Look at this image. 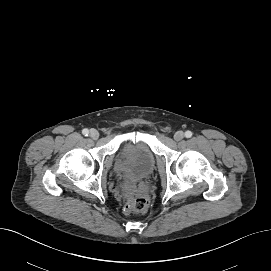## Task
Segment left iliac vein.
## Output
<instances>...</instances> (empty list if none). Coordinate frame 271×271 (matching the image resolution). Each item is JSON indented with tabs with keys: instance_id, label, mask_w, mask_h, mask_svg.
<instances>
[{
	"instance_id": "obj_1",
	"label": "left iliac vein",
	"mask_w": 271,
	"mask_h": 271,
	"mask_svg": "<svg viewBox=\"0 0 271 271\" xmlns=\"http://www.w3.org/2000/svg\"><path fill=\"white\" fill-rule=\"evenodd\" d=\"M184 138V133L182 131H177L175 134H174V139L176 141H181L182 139Z\"/></svg>"
}]
</instances>
